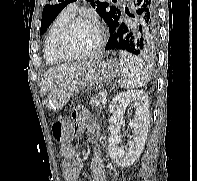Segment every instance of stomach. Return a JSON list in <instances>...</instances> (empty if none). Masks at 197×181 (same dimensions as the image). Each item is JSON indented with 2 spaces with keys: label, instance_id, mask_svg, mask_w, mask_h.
<instances>
[{
  "label": "stomach",
  "instance_id": "stomach-1",
  "mask_svg": "<svg viewBox=\"0 0 197 181\" xmlns=\"http://www.w3.org/2000/svg\"><path fill=\"white\" fill-rule=\"evenodd\" d=\"M120 71L121 66L116 59L106 57L92 60L84 73L54 85L49 93V106L60 110L83 88L101 86L119 75Z\"/></svg>",
  "mask_w": 197,
  "mask_h": 181
}]
</instances>
